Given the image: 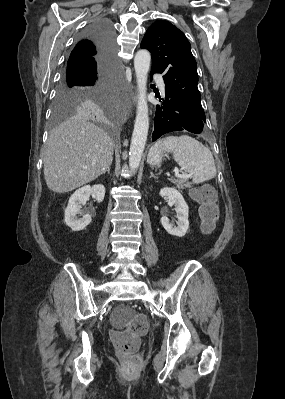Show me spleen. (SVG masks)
Listing matches in <instances>:
<instances>
[{"label": "spleen", "instance_id": "spleen-1", "mask_svg": "<svg viewBox=\"0 0 285 399\" xmlns=\"http://www.w3.org/2000/svg\"><path fill=\"white\" fill-rule=\"evenodd\" d=\"M155 147H161L173 153L174 160L199 184L216 176L213 155L208 147L188 135L167 137L159 141Z\"/></svg>", "mask_w": 285, "mask_h": 399}]
</instances>
